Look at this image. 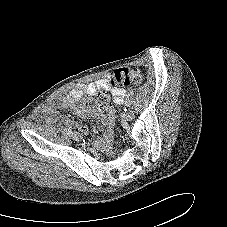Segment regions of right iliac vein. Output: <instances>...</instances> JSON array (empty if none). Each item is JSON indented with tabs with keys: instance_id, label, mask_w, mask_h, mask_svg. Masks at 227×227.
Returning <instances> with one entry per match:
<instances>
[{
	"instance_id": "right-iliac-vein-1",
	"label": "right iliac vein",
	"mask_w": 227,
	"mask_h": 227,
	"mask_svg": "<svg viewBox=\"0 0 227 227\" xmlns=\"http://www.w3.org/2000/svg\"><path fill=\"white\" fill-rule=\"evenodd\" d=\"M73 139L75 140V141H81V139H82V137L78 134V133H74V135H73Z\"/></svg>"
}]
</instances>
